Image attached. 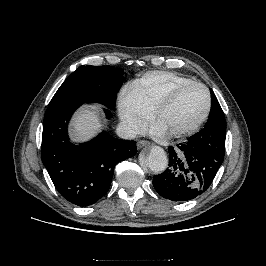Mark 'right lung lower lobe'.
Segmentation results:
<instances>
[{
	"instance_id": "right-lung-lower-lobe-1",
	"label": "right lung lower lobe",
	"mask_w": 266,
	"mask_h": 266,
	"mask_svg": "<svg viewBox=\"0 0 266 266\" xmlns=\"http://www.w3.org/2000/svg\"><path fill=\"white\" fill-rule=\"evenodd\" d=\"M83 103L52 99L43 121L41 157L57 191L69 202L89 206L108 191L115 165L136 154V142L106 132L80 146L69 141L67 124ZM107 118L110 110L105 109Z\"/></svg>"
}]
</instances>
